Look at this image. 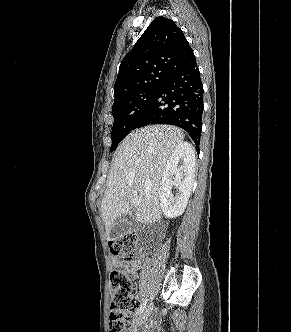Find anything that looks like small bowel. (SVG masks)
<instances>
[{
  "mask_svg": "<svg viewBox=\"0 0 291 332\" xmlns=\"http://www.w3.org/2000/svg\"><path fill=\"white\" fill-rule=\"evenodd\" d=\"M113 265H114L115 267H120V266H121V262H120L118 259H114V260H113Z\"/></svg>",
  "mask_w": 291,
  "mask_h": 332,
  "instance_id": "small-bowel-1",
  "label": "small bowel"
}]
</instances>
